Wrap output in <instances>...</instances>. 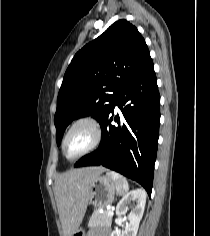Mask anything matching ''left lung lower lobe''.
I'll list each match as a JSON object with an SVG mask.
<instances>
[{
	"label": "left lung lower lobe",
	"mask_w": 210,
	"mask_h": 236,
	"mask_svg": "<svg viewBox=\"0 0 210 236\" xmlns=\"http://www.w3.org/2000/svg\"><path fill=\"white\" fill-rule=\"evenodd\" d=\"M121 116L114 120V107ZM160 124V95L152 60L118 93L101 123L97 150L81 158L75 167L102 165L140 183L151 195Z\"/></svg>",
	"instance_id": "0a47b994"
}]
</instances>
